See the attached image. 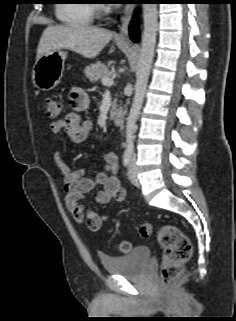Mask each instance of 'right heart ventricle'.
I'll list each match as a JSON object with an SVG mask.
<instances>
[{"mask_svg": "<svg viewBox=\"0 0 236 321\" xmlns=\"http://www.w3.org/2000/svg\"><path fill=\"white\" fill-rule=\"evenodd\" d=\"M94 7L90 0H65L56 8L58 20L66 25L84 26L92 22Z\"/></svg>", "mask_w": 236, "mask_h": 321, "instance_id": "1", "label": "right heart ventricle"}]
</instances>
